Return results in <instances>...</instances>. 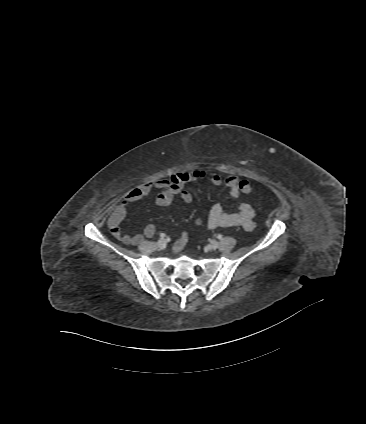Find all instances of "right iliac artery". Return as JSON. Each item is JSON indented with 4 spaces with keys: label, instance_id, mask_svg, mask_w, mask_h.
I'll return each instance as SVG.
<instances>
[{
    "label": "right iliac artery",
    "instance_id": "right-iliac-artery-1",
    "mask_svg": "<svg viewBox=\"0 0 366 424\" xmlns=\"http://www.w3.org/2000/svg\"><path fill=\"white\" fill-rule=\"evenodd\" d=\"M166 235L164 233L160 234V237L164 238Z\"/></svg>",
    "mask_w": 366,
    "mask_h": 424
}]
</instances>
